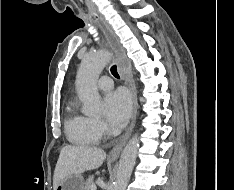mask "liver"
Instances as JSON below:
<instances>
[{"mask_svg":"<svg viewBox=\"0 0 234 190\" xmlns=\"http://www.w3.org/2000/svg\"><path fill=\"white\" fill-rule=\"evenodd\" d=\"M106 153L95 147L67 145L60 151L53 176V190L69 175L81 174L100 167Z\"/></svg>","mask_w":234,"mask_h":190,"instance_id":"liver-1","label":"liver"}]
</instances>
